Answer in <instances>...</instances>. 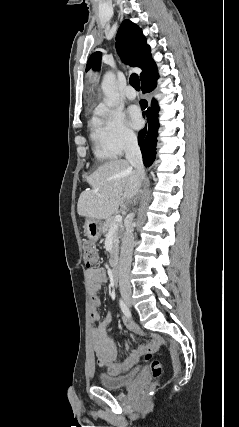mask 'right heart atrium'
I'll return each instance as SVG.
<instances>
[{"label":"right heart atrium","mask_w":239,"mask_h":427,"mask_svg":"<svg viewBox=\"0 0 239 427\" xmlns=\"http://www.w3.org/2000/svg\"><path fill=\"white\" fill-rule=\"evenodd\" d=\"M97 122L106 144L116 156L123 155L135 147L136 135L120 112L101 107L98 110Z\"/></svg>","instance_id":"d8ad5b80"}]
</instances>
